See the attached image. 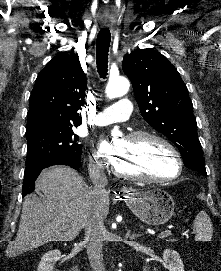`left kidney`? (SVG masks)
I'll return each instance as SVG.
<instances>
[{"instance_id":"5707ae66","label":"left kidney","mask_w":221,"mask_h":271,"mask_svg":"<svg viewBox=\"0 0 221 271\" xmlns=\"http://www.w3.org/2000/svg\"><path fill=\"white\" fill-rule=\"evenodd\" d=\"M163 265L168 267L169 271H185L184 263L175 249H164Z\"/></svg>"}]
</instances>
